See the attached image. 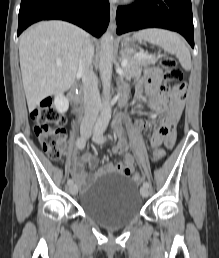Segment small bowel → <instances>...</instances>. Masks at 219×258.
I'll list each match as a JSON object with an SVG mask.
<instances>
[{"label":"small bowel","instance_id":"c3829d8e","mask_svg":"<svg viewBox=\"0 0 219 258\" xmlns=\"http://www.w3.org/2000/svg\"><path fill=\"white\" fill-rule=\"evenodd\" d=\"M160 75L161 72L158 67H148L140 84V88H144L149 95L150 105L154 108V110L156 112H164L166 114L164 120L155 128L151 139V146L153 148L160 146L162 143H164L166 146H174L176 126L185 101L184 91L180 92L177 89H173L169 94L160 92ZM154 122V118L140 121L138 123V128L144 129L147 126L153 127ZM123 125V117L118 116L113 123L114 129L118 133H122ZM127 150L128 145L126 141L121 139L115 153L122 157V163L117 165L107 164L100 169V172L116 170L124 175H131V173L135 170L134 156ZM97 163V158L90 153H85L80 157L71 158V175L82 189L87 188L92 181V176L85 171L84 166L88 165L89 167H95Z\"/></svg>","mask_w":219,"mask_h":258}]
</instances>
